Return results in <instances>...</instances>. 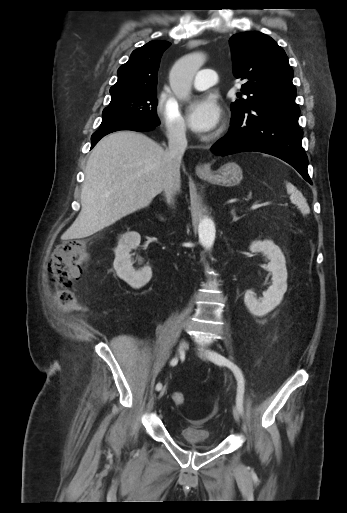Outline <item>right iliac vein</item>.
Masks as SVG:
<instances>
[{"instance_id":"63e3f726","label":"right iliac vein","mask_w":347,"mask_h":513,"mask_svg":"<svg viewBox=\"0 0 347 513\" xmlns=\"http://www.w3.org/2000/svg\"><path fill=\"white\" fill-rule=\"evenodd\" d=\"M187 346H188L187 340L186 339H182L181 342H180V345H179V350H180L181 354H183L185 352ZM165 393H166V387H163L161 389V391L159 392V398L164 396Z\"/></svg>"}]
</instances>
